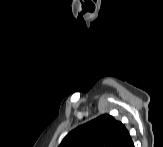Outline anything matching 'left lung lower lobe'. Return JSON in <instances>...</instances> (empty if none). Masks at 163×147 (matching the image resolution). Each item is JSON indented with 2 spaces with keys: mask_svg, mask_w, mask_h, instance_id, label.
Returning <instances> with one entry per match:
<instances>
[{
  "mask_svg": "<svg viewBox=\"0 0 163 147\" xmlns=\"http://www.w3.org/2000/svg\"><path fill=\"white\" fill-rule=\"evenodd\" d=\"M115 147H134L128 130L123 133Z\"/></svg>",
  "mask_w": 163,
  "mask_h": 147,
  "instance_id": "obj_1",
  "label": "left lung lower lobe"
}]
</instances>
